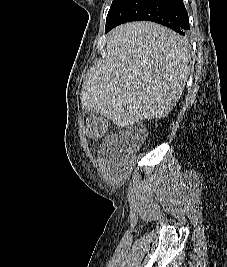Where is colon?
Listing matches in <instances>:
<instances>
[{
    "mask_svg": "<svg viewBox=\"0 0 227 267\" xmlns=\"http://www.w3.org/2000/svg\"><path fill=\"white\" fill-rule=\"evenodd\" d=\"M86 135L91 139H101L107 133V122L101 116L90 117L84 126ZM146 130L142 127H131L122 136L121 141L126 149L135 150L145 141Z\"/></svg>",
    "mask_w": 227,
    "mask_h": 267,
    "instance_id": "obj_1",
    "label": "colon"
}]
</instances>
